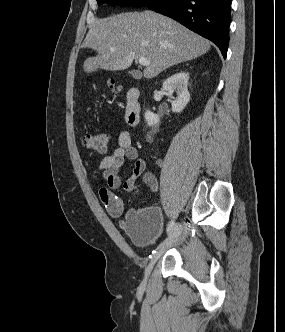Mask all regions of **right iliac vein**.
<instances>
[{
	"label": "right iliac vein",
	"mask_w": 285,
	"mask_h": 332,
	"mask_svg": "<svg viewBox=\"0 0 285 332\" xmlns=\"http://www.w3.org/2000/svg\"><path fill=\"white\" fill-rule=\"evenodd\" d=\"M181 232V225L180 224H176L172 230L169 232L168 237L165 239V241L160 245V247L158 248L157 252L155 254H153L148 266L145 269V279H147V277L149 276L153 266L155 265V263L157 262V260L159 259L162 250L169 245L170 243H172L174 240H176L178 238V236L180 235Z\"/></svg>",
	"instance_id": "63e3f726"
}]
</instances>
